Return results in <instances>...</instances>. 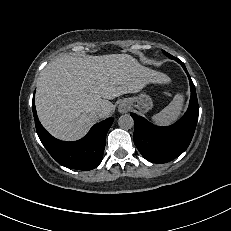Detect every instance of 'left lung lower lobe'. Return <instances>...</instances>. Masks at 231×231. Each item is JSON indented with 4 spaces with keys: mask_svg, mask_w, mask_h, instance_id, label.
Segmentation results:
<instances>
[{
    "mask_svg": "<svg viewBox=\"0 0 231 231\" xmlns=\"http://www.w3.org/2000/svg\"><path fill=\"white\" fill-rule=\"evenodd\" d=\"M181 64L188 75L191 98L187 112L175 124L159 127L134 113L131 116L135 122L134 143L143 157L155 163H166L183 153L189 146L198 120V101L195 86L182 61L171 57Z\"/></svg>",
    "mask_w": 231,
    "mask_h": 231,
    "instance_id": "left-lung-lower-lobe-1",
    "label": "left lung lower lobe"
}]
</instances>
